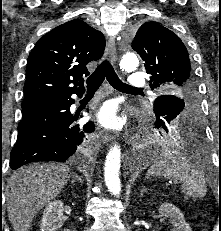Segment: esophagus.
<instances>
[{
  "label": "esophagus",
  "instance_id": "esophagus-1",
  "mask_svg": "<svg viewBox=\"0 0 221 231\" xmlns=\"http://www.w3.org/2000/svg\"><path fill=\"white\" fill-rule=\"evenodd\" d=\"M106 54L111 60L112 63H115L116 61V43L115 39L113 37H110L108 42H107V48H106ZM100 137L103 141V143L108 144L109 142L112 141L113 136L106 132L105 130L100 131Z\"/></svg>",
  "mask_w": 221,
  "mask_h": 231
}]
</instances>
